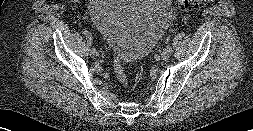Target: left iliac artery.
<instances>
[{"label":"left iliac artery","mask_w":253,"mask_h":131,"mask_svg":"<svg viewBox=\"0 0 253 131\" xmlns=\"http://www.w3.org/2000/svg\"><path fill=\"white\" fill-rule=\"evenodd\" d=\"M171 49H172V48H171L170 44H167L166 51H167V52H170Z\"/></svg>","instance_id":"44dca946"}]
</instances>
